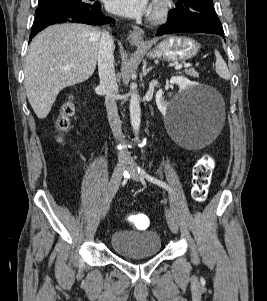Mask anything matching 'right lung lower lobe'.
<instances>
[{"label":"right lung lower lobe","mask_w":267,"mask_h":301,"mask_svg":"<svg viewBox=\"0 0 267 301\" xmlns=\"http://www.w3.org/2000/svg\"><path fill=\"white\" fill-rule=\"evenodd\" d=\"M100 10L101 5L96 2L91 7L86 9H64L37 16L31 29L30 40L39 31L55 23L79 22L91 25H100L114 22L112 18L105 17Z\"/></svg>","instance_id":"obj_1"}]
</instances>
